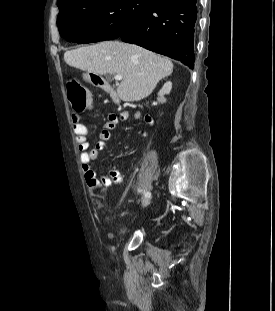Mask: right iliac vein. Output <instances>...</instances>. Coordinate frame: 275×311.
Segmentation results:
<instances>
[{
	"mask_svg": "<svg viewBox=\"0 0 275 311\" xmlns=\"http://www.w3.org/2000/svg\"><path fill=\"white\" fill-rule=\"evenodd\" d=\"M149 202H150V198L149 199H144L143 202H142V206L145 207Z\"/></svg>",
	"mask_w": 275,
	"mask_h": 311,
	"instance_id": "63e3f726",
	"label": "right iliac vein"
}]
</instances>
